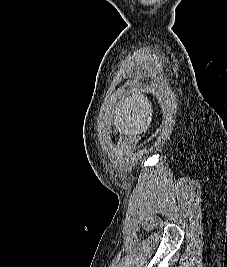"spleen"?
<instances>
[{
    "label": "spleen",
    "mask_w": 227,
    "mask_h": 267,
    "mask_svg": "<svg viewBox=\"0 0 227 267\" xmlns=\"http://www.w3.org/2000/svg\"><path fill=\"white\" fill-rule=\"evenodd\" d=\"M139 100L138 95L133 94L129 103ZM122 115H142V110H122ZM153 120V116H137V120H119V124H110V129H117L116 133L127 137L128 140H137L140 134L144 133L143 129L150 128V121Z\"/></svg>",
    "instance_id": "1"
}]
</instances>
